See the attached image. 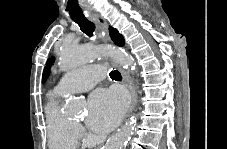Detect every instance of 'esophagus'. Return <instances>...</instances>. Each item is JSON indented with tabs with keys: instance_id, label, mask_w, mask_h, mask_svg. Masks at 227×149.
Returning <instances> with one entry per match:
<instances>
[{
	"instance_id": "1",
	"label": "esophagus",
	"mask_w": 227,
	"mask_h": 149,
	"mask_svg": "<svg viewBox=\"0 0 227 149\" xmlns=\"http://www.w3.org/2000/svg\"><path fill=\"white\" fill-rule=\"evenodd\" d=\"M98 29L99 31L103 34V42L107 43L109 42V35H108V24L106 22V20L102 17L100 18H96L95 19ZM111 63L119 70V72L122 75L123 78V82L125 84V86L127 87V89L130 92V96H131V101H130V106L128 108L127 114L123 115L124 119H127L128 116H130V114L132 113V111L135 108L136 105V91H135V87H134V83L131 79V77L128 75V73L120 66L118 65L114 60L111 59Z\"/></svg>"
}]
</instances>
